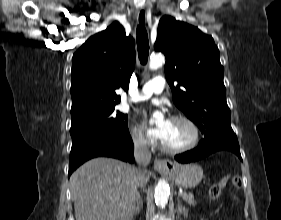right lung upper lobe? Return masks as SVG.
<instances>
[{
  "label": "right lung upper lobe",
  "mask_w": 281,
  "mask_h": 220,
  "mask_svg": "<svg viewBox=\"0 0 281 220\" xmlns=\"http://www.w3.org/2000/svg\"><path fill=\"white\" fill-rule=\"evenodd\" d=\"M134 67V40L119 22L91 36L72 58L71 117L114 109Z\"/></svg>",
  "instance_id": "obj_1"
}]
</instances>
